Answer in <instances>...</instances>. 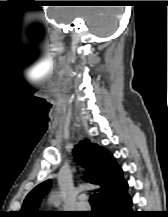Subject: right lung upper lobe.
Returning <instances> with one entry per match:
<instances>
[{"label":"right lung upper lobe","instance_id":"1","mask_svg":"<svg viewBox=\"0 0 168 217\" xmlns=\"http://www.w3.org/2000/svg\"><path fill=\"white\" fill-rule=\"evenodd\" d=\"M74 158L86 167V181L101 186L100 203L124 190L128 184L123 178L122 168L105 148L98 146L89 139L80 141L73 150ZM51 180L36 186L25 198L20 217H44L47 213L38 211L42 197L49 191Z\"/></svg>","mask_w":168,"mask_h":217}]
</instances>
